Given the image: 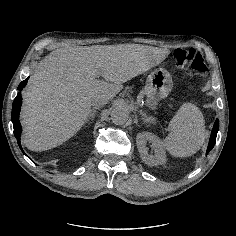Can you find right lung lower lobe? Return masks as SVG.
Masks as SVG:
<instances>
[{
    "label": "right lung lower lobe",
    "instance_id": "right-lung-lower-lobe-1",
    "mask_svg": "<svg viewBox=\"0 0 236 236\" xmlns=\"http://www.w3.org/2000/svg\"><path fill=\"white\" fill-rule=\"evenodd\" d=\"M27 80L28 78L19 84L18 86L19 91H21L25 87ZM21 105H22V96H21V92H19L13 102L11 119H12L13 128H14V135L17 138V142L20 149L22 150V146L20 143V135L22 132V127L19 121V113H20Z\"/></svg>",
    "mask_w": 236,
    "mask_h": 236
}]
</instances>
